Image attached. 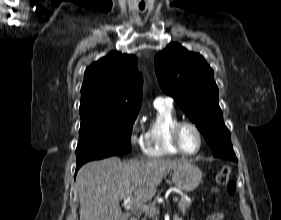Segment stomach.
Segmentation results:
<instances>
[{"instance_id":"1","label":"stomach","mask_w":281,"mask_h":220,"mask_svg":"<svg viewBox=\"0 0 281 220\" xmlns=\"http://www.w3.org/2000/svg\"><path fill=\"white\" fill-rule=\"evenodd\" d=\"M201 180L202 172L193 164L178 167L174 169L172 173L173 184L178 189L186 192L196 189Z\"/></svg>"}]
</instances>
